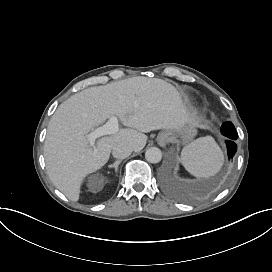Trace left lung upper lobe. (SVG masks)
I'll list each match as a JSON object with an SVG mask.
<instances>
[{
	"label": "left lung upper lobe",
	"instance_id": "1",
	"mask_svg": "<svg viewBox=\"0 0 272 272\" xmlns=\"http://www.w3.org/2000/svg\"><path fill=\"white\" fill-rule=\"evenodd\" d=\"M221 133L232 137H238L234 125L231 122H225L221 126Z\"/></svg>",
	"mask_w": 272,
	"mask_h": 272
}]
</instances>
